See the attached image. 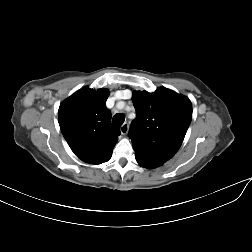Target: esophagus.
Wrapping results in <instances>:
<instances>
[{"instance_id": "esophagus-1", "label": "esophagus", "mask_w": 252, "mask_h": 252, "mask_svg": "<svg viewBox=\"0 0 252 252\" xmlns=\"http://www.w3.org/2000/svg\"><path fill=\"white\" fill-rule=\"evenodd\" d=\"M129 130V125L128 123H124L121 127H120V131L123 135L127 134Z\"/></svg>"}]
</instances>
